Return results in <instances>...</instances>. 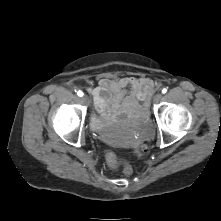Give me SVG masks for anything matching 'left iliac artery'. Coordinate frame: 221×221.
Instances as JSON below:
<instances>
[{"mask_svg":"<svg viewBox=\"0 0 221 221\" xmlns=\"http://www.w3.org/2000/svg\"><path fill=\"white\" fill-rule=\"evenodd\" d=\"M166 92H167V89H166V88H163V89H162V93L165 94Z\"/></svg>","mask_w":221,"mask_h":221,"instance_id":"1","label":"left iliac artery"}]
</instances>
